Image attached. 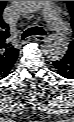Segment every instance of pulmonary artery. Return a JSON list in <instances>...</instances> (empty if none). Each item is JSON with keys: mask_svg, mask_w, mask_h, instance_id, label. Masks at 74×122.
I'll list each match as a JSON object with an SVG mask.
<instances>
[{"mask_svg": "<svg viewBox=\"0 0 74 122\" xmlns=\"http://www.w3.org/2000/svg\"><path fill=\"white\" fill-rule=\"evenodd\" d=\"M43 13L58 36H62L67 32V26L60 18L58 8L51 1L44 2Z\"/></svg>", "mask_w": 74, "mask_h": 122, "instance_id": "e3ab8cb5", "label": "pulmonary artery"}]
</instances>
